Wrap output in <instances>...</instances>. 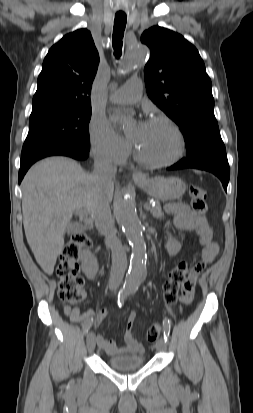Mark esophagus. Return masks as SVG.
I'll list each match as a JSON object with an SVG mask.
<instances>
[{
    "mask_svg": "<svg viewBox=\"0 0 253 413\" xmlns=\"http://www.w3.org/2000/svg\"><path fill=\"white\" fill-rule=\"evenodd\" d=\"M133 177H135V178H144L145 176L140 170H135L133 172Z\"/></svg>",
    "mask_w": 253,
    "mask_h": 413,
    "instance_id": "esophagus-1",
    "label": "esophagus"
}]
</instances>
